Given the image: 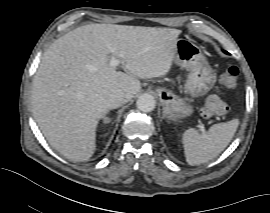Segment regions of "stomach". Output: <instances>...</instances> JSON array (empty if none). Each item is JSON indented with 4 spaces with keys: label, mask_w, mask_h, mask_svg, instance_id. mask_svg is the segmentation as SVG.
Wrapping results in <instances>:
<instances>
[{
    "label": "stomach",
    "mask_w": 270,
    "mask_h": 213,
    "mask_svg": "<svg viewBox=\"0 0 270 213\" xmlns=\"http://www.w3.org/2000/svg\"><path fill=\"white\" fill-rule=\"evenodd\" d=\"M175 64L189 69L185 90L196 98L207 94L216 82V73L209 66L199 48L191 41L178 39L176 42ZM157 93L163 107V116L171 121H178L193 114L192 99L181 98L173 91L158 87Z\"/></svg>",
    "instance_id": "obj_1"
}]
</instances>
